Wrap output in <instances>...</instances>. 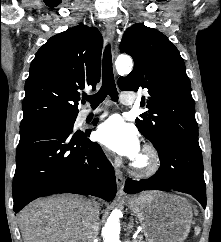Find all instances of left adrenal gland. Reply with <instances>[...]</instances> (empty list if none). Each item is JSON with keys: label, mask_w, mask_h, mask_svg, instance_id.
<instances>
[{"label": "left adrenal gland", "mask_w": 221, "mask_h": 242, "mask_svg": "<svg viewBox=\"0 0 221 242\" xmlns=\"http://www.w3.org/2000/svg\"><path fill=\"white\" fill-rule=\"evenodd\" d=\"M132 227H133V218L131 217L130 223L128 224V229H129L128 234H127L128 236L131 233ZM127 242H130V241H127Z\"/></svg>", "instance_id": "left-adrenal-gland-1"}]
</instances>
